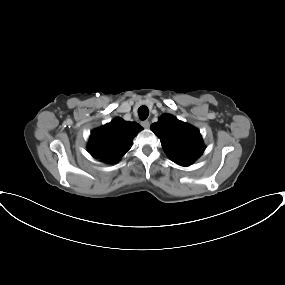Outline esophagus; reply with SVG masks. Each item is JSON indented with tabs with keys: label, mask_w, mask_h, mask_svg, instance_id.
I'll list each match as a JSON object with an SVG mask.
<instances>
[{
	"label": "esophagus",
	"mask_w": 285,
	"mask_h": 285,
	"mask_svg": "<svg viewBox=\"0 0 285 285\" xmlns=\"http://www.w3.org/2000/svg\"><path fill=\"white\" fill-rule=\"evenodd\" d=\"M141 125L144 127V128H149L150 126V122L148 120H144L141 122Z\"/></svg>",
	"instance_id": "1"
}]
</instances>
